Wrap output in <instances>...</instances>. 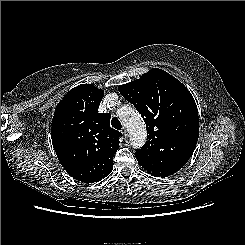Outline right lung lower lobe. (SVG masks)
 Here are the masks:
<instances>
[{
  "label": "right lung lower lobe",
  "instance_id": "obj_1",
  "mask_svg": "<svg viewBox=\"0 0 245 245\" xmlns=\"http://www.w3.org/2000/svg\"><path fill=\"white\" fill-rule=\"evenodd\" d=\"M112 171V170H111ZM111 171L108 173V174H110L111 173ZM73 178H75V179H77V180H79L80 181V177H79V175L77 174V173H69Z\"/></svg>",
  "mask_w": 245,
  "mask_h": 245
}]
</instances>
